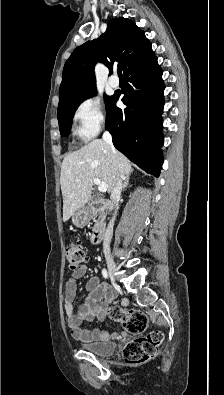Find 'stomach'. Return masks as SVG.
Wrapping results in <instances>:
<instances>
[{"instance_id": "stomach-1", "label": "stomach", "mask_w": 224, "mask_h": 395, "mask_svg": "<svg viewBox=\"0 0 224 395\" xmlns=\"http://www.w3.org/2000/svg\"><path fill=\"white\" fill-rule=\"evenodd\" d=\"M90 220V213L87 208L82 207L72 215V223L77 227L85 226Z\"/></svg>"}]
</instances>
